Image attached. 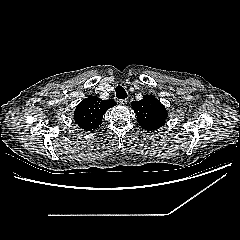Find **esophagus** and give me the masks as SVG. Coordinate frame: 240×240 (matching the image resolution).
Listing matches in <instances>:
<instances>
[{
	"label": "esophagus",
	"instance_id": "1",
	"mask_svg": "<svg viewBox=\"0 0 240 240\" xmlns=\"http://www.w3.org/2000/svg\"><path fill=\"white\" fill-rule=\"evenodd\" d=\"M127 102H128L127 99H119V103H120L121 105H125V104H127Z\"/></svg>",
	"mask_w": 240,
	"mask_h": 240
}]
</instances>
